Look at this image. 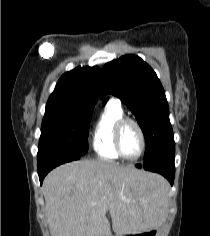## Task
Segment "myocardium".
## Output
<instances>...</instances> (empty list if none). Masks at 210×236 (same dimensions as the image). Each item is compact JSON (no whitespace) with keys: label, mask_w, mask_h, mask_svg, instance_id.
I'll use <instances>...</instances> for the list:
<instances>
[{"label":"myocardium","mask_w":210,"mask_h":236,"mask_svg":"<svg viewBox=\"0 0 210 236\" xmlns=\"http://www.w3.org/2000/svg\"><path fill=\"white\" fill-rule=\"evenodd\" d=\"M133 124L138 132H139V135H140V138H141V148H140V151L138 153L137 156L133 157V158H129L127 157L123 151H122V147H121V135H122V130L124 128V126L126 124ZM114 146H115V149L118 153V155L126 160V161H130V162H133V161H137L144 153L145 151V148H146V136H145V133L143 131V128L142 126L140 125V123L133 119V118H129V117H123L121 118L117 123H116V126H115V131H114Z\"/></svg>","instance_id":"f54148a6"}]
</instances>
